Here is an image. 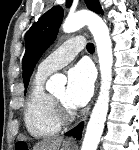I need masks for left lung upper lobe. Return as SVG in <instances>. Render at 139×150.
Wrapping results in <instances>:
<instances>
[{
  "instance_id": "1",
  "label": "left lung upper lobe",
  "mask_w": 139,
  "mask_h": 150,
  "mask_svg": "<svg viewBox=\"0 0 139 150\" xmlns=\"http://www.w3.org/2000/svg\"><path fill=\"white\" fill-rule=\"evenodd\" d=\"M85 3L90 10L103 14L99 0H85ZM70 4L71 0H68L67 5L70 6ZM62 19L63 9L60 6H54L27 31L25 36L26 51L22 61L25 89L39 58L55 40Z\"/></svg>"
}]
</instances>
